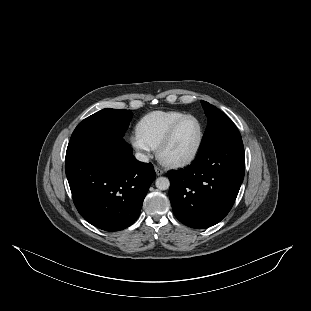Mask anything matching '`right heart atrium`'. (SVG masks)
I'll use <instances>...</instances> for the list:
<instances>
[{
	"mask_svg": "<svg viewBox=\"0 0 311 311\" xmlns=\"http://www.w3.org/2000/svg\"><path fill=\"white\" fill-rule=\"evenodd\" d=\"M129 142L141 160L148 161L153 157L154 149L141 141L136 135H132Z\"/></svg>",
	"mask_w": 311,
	"mask_h": 311,
	"instance_id": "d8ad5b80",
	"label": "right heart atrium"
}]
</instances>
